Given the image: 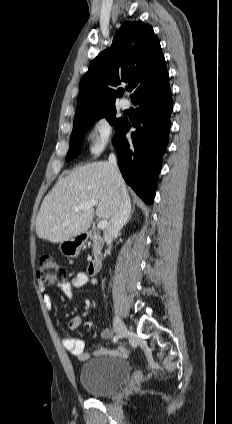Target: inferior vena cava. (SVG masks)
Instances as JSON below:
<instances>
[{
    "mask_svg": "<svg viewBox=\"0 0 232 424\" xmlns=\"http://www.w3.org/2000/svg\"><path fill=\"white\" fill-rule=\"evenodd\" d=\"M108 163L111 168V172L116 179L121 177L119 168L117 166V160L114 153H111L108 158ZM131 212V202L129 195L125 191L117 192L116 194V208L112 217L110 218L109 225L107 226L104 239L106 244L109 247V250L112 246V240L115 235L121 230L128 220L129 214Z\"/></svg>",
    "mask_w": 232,
    "mask_h": 424,
    "instance_id": "inferior-vena-cava-1",
    "label": "inferior vena cava"
}]
</instances>
